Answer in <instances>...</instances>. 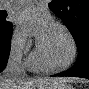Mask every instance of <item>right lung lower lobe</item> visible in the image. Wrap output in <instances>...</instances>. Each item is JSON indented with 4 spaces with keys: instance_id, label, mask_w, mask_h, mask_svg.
<instances>
[{
    "instance_id": "right-lung-lower-lobe-1",
    "label": "right lung lower lobe",
    "mask_w": 89,
    "mask_h": 89,
    "mask_svg": "<svg viewBox=\"0 0 89 89\" xmlns=\"http://www.w3.org/2000/svg\"><path fill=\"white\" fill-rule=\"evenodd\" d=\"M11 34L12 27L0 35V72L3 71L7 65L11 46Z\"/></svg>"
}]
</instances>
